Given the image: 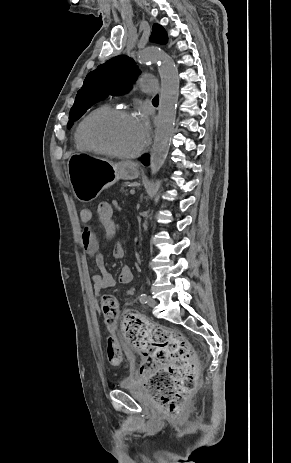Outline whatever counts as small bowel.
<instances>
[{
	"mask_svg": "<svg viewBox=\"0 0 291 463\" xmlns=\"http://www.w3.org/2000/svg\"><path fill=\"white\" fill-rule=\"evenodd\" d=\"M114 216V215H113ZM111 216V217H113ZM98 219V218H97ZM80 220L84 224H89L92 220V212L89 209H82L80 211ZM106 237L111 238L116 233V224L113 226H102ZM81 243L84 250L94 258L97 268L99 269L98 274H92L90 276L91 282L96 292H100L105 289L112 288L116 285V279L106 269L104 258L100 252L97 238L94 232L89 228L85 227L81 232ZM113 255L116 258H121L124 255V249L122 245L116 244L113 249ZM133 280V272L129 267H123L119 273L118 281L121 284H128Z\"/></svg>",
	"mask_w": 291,
	"mask_h": 463,
	"instance_id": "1",
	"label": "small bowel"
}]
</instances>
